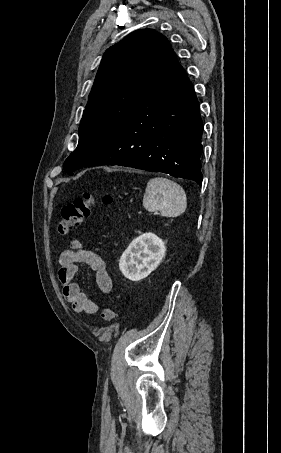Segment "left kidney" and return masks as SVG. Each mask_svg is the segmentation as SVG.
I'll return each mask as SVG.
<instances>
[{
	"label": "left kidney",
	"mask_w": 281,
	"mask_h": 453,
	"mask_svg": "<svg viewBox=\"0 0 281 453\" xmlns=\"http://www.w3.org/2000/svg\"><path fill=\"white\" fill-rule=\"evenodd\" d=\"M165 243L153 233H144L134 239L124 251L119 269L126 279L141 281L148 277L165 257Z\"/></svg>",
	"instance_id": "obj_1"
}]
</instances>
